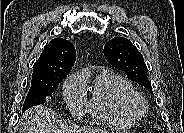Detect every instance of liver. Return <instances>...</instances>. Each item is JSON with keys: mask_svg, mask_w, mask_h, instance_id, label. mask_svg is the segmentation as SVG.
Here are the masks:
<instances>
[{"mask_svg": "<svg viewBox=\"0 0 184 133\" xmlns=\"http://www.w3.org/2000/svg\"><path fill=\"white\" fill-rule=\"evenodd\" d=\"M22 125L23 133H57L60 130L56 129L52 122L50 109L40 105L29 109L23 115ZM63 133H106L101 129H93L86 127H66Z\"/></svg>", "mask_w": 184, "mask_h": 133, "instance_id": "1", "label": "liver"}]
</instances>
